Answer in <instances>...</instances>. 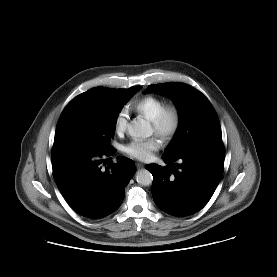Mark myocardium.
<instances>
[{"label": "myocardium", "instance_id": "myocardium-1", "mask_svg": "<svg viewBox=\"0 0 277 277\" xmlns=\"http://www.w3.org/2000/svg\"><path fill=\"white\" fill-rule=\"evenodd\" d=\"M181 112L177 105L167 104L152 121L154 133L164 142L172 141L181 127Z\"/></svg>", "mask_w": 277, "mask_h": 277}]
</instances>
